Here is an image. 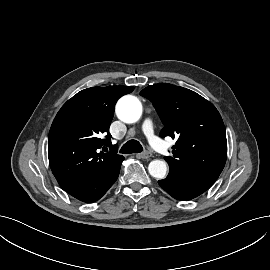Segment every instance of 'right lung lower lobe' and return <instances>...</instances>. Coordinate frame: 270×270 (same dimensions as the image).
I'll list each match as a JSON object with an SVG mask.
<instances>
[{"label": "right lung lower lobe", "instance_id": "1", "mask_svg": "<svg viewBox=\"0 0 270 270\" xmlns=\"http://www.w3.org/2000/svg\"><path fill=\"white\" fill-rule=\"evenodd\" d=\"M121 163L111 169V171L105 176L82 185L68 188L66 191L71 196L83 202L91 203L99 200L117 180Z\"/></svg>", "mask_w": 270, "mask_h": 270}]
</instances>
